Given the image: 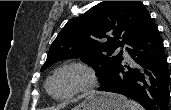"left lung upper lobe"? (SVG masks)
<instances>
[{"instance_id":"5c2ea615","label":"left lung upper lobe","mask_w":171,"mask_h":110,"mask_svg":"<svg viewBox=\"0 0 171 110\" xmlns=\"http://www.w3.org/2000/svg\"><path fill=\"white\" fill-rule=\"evenodd\" d=\"M148 11L140 1H103L70 20L52 43L41 71L58 60L81 57L105 82L122 60V51L141 32Z\"/></svg>"}]
</instances>
